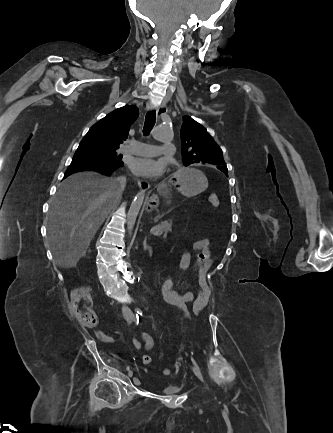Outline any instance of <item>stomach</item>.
Returning a JSON list of instances; mask_svg holds the SVG:
<instances>
[{
    "label": "stomach",
    "mask_w": 333,
    "mask_h": 433,
    "mask_svg": "<svg viewBox=\"0 0 333 433\" xmlns=\"http://www.w3.org/2000/svg\"><path fill=\"white\" fill-rule=\"evenodd\" d=\"M171 183L178 185V190L185 196L191 197L200 194L207 188L205 169H177L176 174H171ZM160 195V192H158ZM158 203V195H155L148 204L149 209H154Z\"/></svg>",
    "instance_id": "stomach-1"
}]
</instances>
